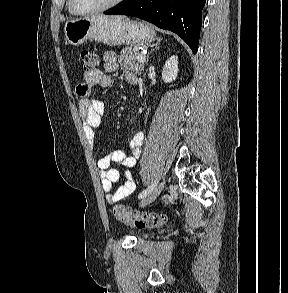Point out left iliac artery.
Listing matches in <instances>:
<instances>
[{
    "label": "left iliac artery",
    "mask_w": 288,
    "mask_h": 293,
    "mask_svg": "<svg viewBox=\"0 0 288 293\" xmlns=\"http://www.w3.org/2000/svg\"><path fill=\"white\" fill-rule=\"evenodd\" d=\"M156 185H157V182L155 181V182H154L152 185H150L147 189L143 190V191L139 194L138 198H139V199L144 198L149 192H151V191L156 187Z\"/></svg>",
    "instance_id": "left-iliac-artery-1"
}]
</instances>
